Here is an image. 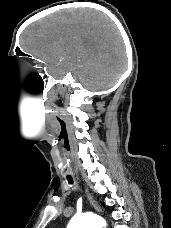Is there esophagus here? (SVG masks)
<instances>
[{
    "label": "esophagus",
    "instance_id": "esophagus-1",
    "mask_svg": "<svg viewBox=\"0 0 171 228\" xmlns=\"http://www.w3.org/2000/svg\"><path fill=\"white\" fill-rule=\"evenodd\" d=\"M87 197H88V200H89L90 204L92 205V207L96 211L101 212L102 210H101L100 206L97 204V202L92 198V196L89 193H87Z\"/></svg>",
    "mask_w": 171,
    "mask_h": 228
}]
</instances>
